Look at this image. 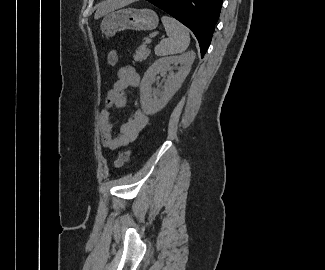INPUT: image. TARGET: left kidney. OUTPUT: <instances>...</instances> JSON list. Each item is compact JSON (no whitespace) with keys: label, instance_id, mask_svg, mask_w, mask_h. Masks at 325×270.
<instances>
[{"label":"left kidney","instance_id":"obj_1","mask_svg":"<svg viewBox=\"0 0 325 270\" xmlns=\"http://www.w3.org/2000/svg\"><path fill=\"white\" fill-rule=\"evenodd\" d=\"M195 56V52L188 51L179 56L160 58L147 69L140 84V102L145 114L153 115L166 106L189 74ZM172 65H179L178 72L165 82L159 97H155L151 86L157 74L169 71Z\"/></svg>","mask_w":325,"mask_h":270}]
</instances>
